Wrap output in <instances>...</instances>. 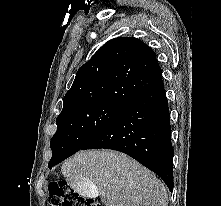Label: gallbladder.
Instances as JSON below:
<instances>
[{
	"mask_svg": "<svg viewBox=\"0 0 221 206\" xmlns=\"http://www.w3.org/2000/svg\"><path fill=\"white\" fill-rule=\"evenodd\" d=\"M73 194H80V198H97L98 189L92 185V181H68Z\"/></svg>",
	"mask_w": 221,
	"mask_h": 206,
	"instance_id": "gallbladder-1",
	"label": "gallbladder"
}]
</instances>
